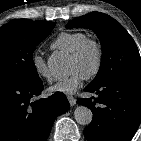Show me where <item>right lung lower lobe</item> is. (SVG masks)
Instances as JSON below:
<instances>
[{
  "label": "right lung lower lobe",
  "mask_w": 141,
  "mask_h": 141,
  "mask_svg": "<svg viewBox=\"0 0 141 141\" xmlns=\"http://www.w3.org/2000/svg\"><path fill=\"white\" fill-rule=\"evenodd\" d=\"M42 90L40 79L0 81V141H46L54 120L69 103L61 92L32 102Z\"/></svg>",
  "instance_id": "obj_1"
}]
</instances>
